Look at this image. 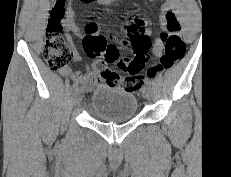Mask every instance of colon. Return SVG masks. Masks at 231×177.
<instances>
[{"instance_id":"obj_1","label":"colon","mask_w":231,"mask_h":177,"mask_svg":"<svg viewBox=\"0 0 231 177\" xmlns=\"http://www.w3.org/2000/svg\"><path fill=\"white\" fill-rule=\"evenodd\" d=\"M93 0H81L91 3ZM62 13L58 7L53 8L51 19L47 28L43 56L52 70H64L74 59V52L61 35ZM166 31L160 36L164 49L160 62L146 70V75L156 78L164 70L170 69L174 63L183 57L185 44L178 34L180 24L173 12H166ZM126 37L108 40L100 33L95 23H90L85 30L83 46L86 54L91 58L99 59L103 68L102 74L111 84L121 85L128 91H138L143 86V74L147 54L150 46L149 36L138 25L130 22L124 26ZM131 47L133 56L122 57V49ZM116 66L125 73L121 76L118 72L106 67L108 64Z\"/></svg>"}]
</instances>
